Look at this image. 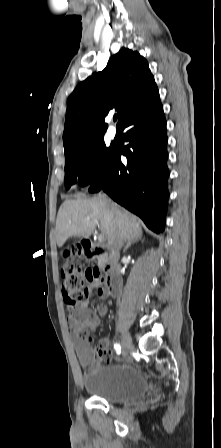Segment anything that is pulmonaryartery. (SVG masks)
<instances>
[{
    "label": "pulmonary artery",
    "instance_id": "e3ab8cb5",
    "mask_svg": "<svg viewBox=\"0 0 221 448\" xmlns=\"http://www.w3.org/2000/svg\"><path fill=\"white\" fill-rule=\"evenodd\" d=\"M107 134L109 138L114 139L117 135L116 129L113 126H110Z\"/></svg>",
    "mask_w": 221,
    "mask_h": 448
}]
</instances>
